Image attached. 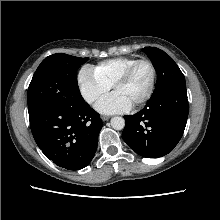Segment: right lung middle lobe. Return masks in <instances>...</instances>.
Listing matches in <instances>:
<instances>
[{
  "label": "right lung middle lobe",
  "instance_id": "dd1d6c3e",
  "mask_svg": "<svg viewBox=\"0 0 220 220\" xmlns=\"http://www.w3.org/2000/svg\"><path fill=\"white\" fill-rule=\"evenodd\" d=\"M88 59L63 53L46 57L28 88L29 115L53 106L76 109L86 105L78 88L77 69Z\"/></svg>",
  "mask_w": 220,
  "mask_h": 220
}]
</instances>
